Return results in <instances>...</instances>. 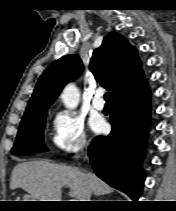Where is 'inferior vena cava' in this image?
Listing matches in <instances>:
<instances>
[{"instance_id": "602c4592", "label": "inferior vena cava", "mask_w": 176, "mask_h": 211, "mask_svg": "<svg viewBox=\"0 0 176 211\" xmlns=\"http://www.w3.org/2000/svg\"><path fill=\"white\" fill-rule=\"evenodd\" d=\"M90 196H91V191L89 188H86L85 190V199H83L84 201H90Z\"/></svg>"}]
</instances>
